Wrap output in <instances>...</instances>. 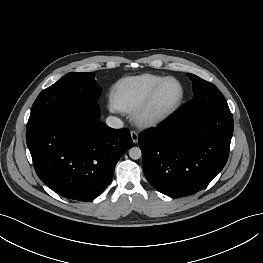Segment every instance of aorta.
<instances>
[{"instance_id": "1", "label": "aorta", "mask_w": 263, "mask_h": 263, "mask_svg": "<svg viewBox=\"0 0 263 263\" xmlns=\"http://www.w3.org/2000/svg\"><path fill=\"white\" fill-rule=\"evenodd\" d=\"M142 153H141V149L139 147H132L129 150V156L131 159H139L141 157Z\"/></svg>"}]
</instances>
